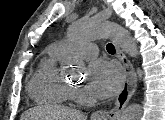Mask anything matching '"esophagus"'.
<instances>
[{
    "label": "esophagus",
    "mask_w": 165,
    "mask_h": 120,
    "mask_svg": "<svg viewBox=\"0 0 165 120\" xmlns=\"http://www.w3.org/2000/svg\"><path fill=\"white\" fill-rule=\"evenodd\" d=\"M117 57L126 70V78L117 96L116 103L110 111H100L92 115L93 120H116L121 114L137 87V75L127 56L115 44Z\"/></svg>",
    "instance_id": "obj_1"
}]
</instances>
